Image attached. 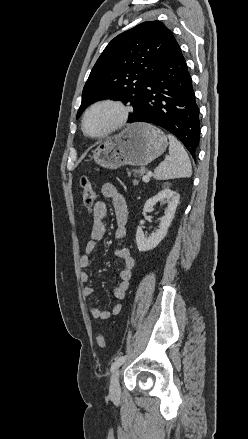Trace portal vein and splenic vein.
Segmentation results:
<instances>
[{"instance_id":"1","label":"portal vein and splenic vein","mask_w":248,"mask_h":439,"mask_svg":"<svg viewBox=\"0 0 248 439\" xmlns=\"http://www.w3.org/2000/svg\"><path fill=\"white\" fill-rule=\"evenodd\" d=\"M152 175V172H148V175L147 176H144L142 179H143V181L144 182H148L149 181V176H151Z\"/></svg>"}]
</instances>
